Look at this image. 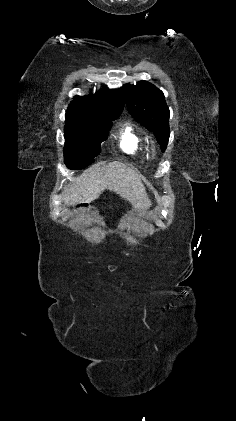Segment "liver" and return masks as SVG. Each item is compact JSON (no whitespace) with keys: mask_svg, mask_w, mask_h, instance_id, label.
Here are the masks:
<instances>
[{"mask_svg":"<svg viewBox=\"0 0 236 421\" xmlns=\"http://www.w3.org/2000/svg\"><path fill=\"white\" fill-rule=\"evenodd\" d=\"M105 188L114 190L116 194L129 200L133 204L135 211H145L151 206V200L145 190L138 170L134 166H127L123 162L113 160L106 166L93 164L84 170L80 176L74 180L73 186L69 188L64 196L65 202H81V200H95L100 196Z\"/></svg>","mask_w":236,"mask_h":421,"instance_id":"1","label":"liver"}]
</instances>
